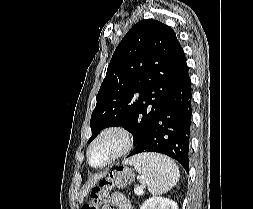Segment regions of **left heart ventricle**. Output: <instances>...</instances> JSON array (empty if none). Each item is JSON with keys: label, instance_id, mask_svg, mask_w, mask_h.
<instances>
[{"label": "left heart ventricle", "instance_id": "obj_1", "mask_svg": "<svg viewBox=\"0 0 253 209\" xmlns=\"http://www.w3.org/2000/svg\"><path fill=\"white\" fill-rule=\"evenodd\" d=\"M121 146L118 134H108L95 144L91 153L93 165H100L109 159Z\"/></svg>", "mask_w": 253, "mask_h": 209}]
</instances>
